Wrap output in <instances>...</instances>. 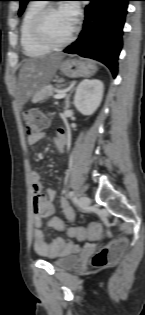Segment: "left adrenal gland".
Wrapping results in <instances>:
<instances>
[{
	"label": "left adrenal gland",
	"instance_id": "1",
	"mask_svg": "<svg viewBox=\"0 0 145 315\" xmlns=\"http://www.w3.org/2000/svg\"><path fill=\"white\" fill-rule=\"evenodd\" d=\"M74 89H75V87H73V86L70 87L69 94L67 95L66 100H65V109H68L70 107V96H71L72 92L74 91Z\"/></svg>",
	"mask_w": 145,
	"mask_h": 315
}]
</instances>
